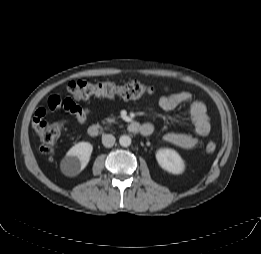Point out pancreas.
Instances as JSON below:
<instances>
[{
    "mask_svg": "<svg viewBox=\"0 0 261 254\" xmlns=\"http://www.w3.org/2000/svg\"><path fill=\"white\" fill-rule=\"evenodd\" d=\"M116 121L115 117L107 118L105 121H103V124H112Z\"/></svg>",
    "mask_w": 261,
    "mask_h": 254,
    "instance_id": "pancreas-1",
    "label": "pancreas"
}]
</instances>
